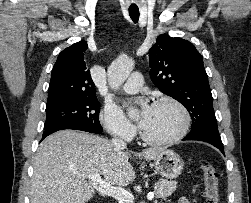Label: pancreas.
<instances>
[{
	"instance_id": "obj_1",
	"label": "pancreas",
	"mask_w": 251,
	"mask_h": 203,
	"mask_svg": "<svg viewBox=\"0 0 251 203\" xmlns=\"http://www.w3.org/2000/svg\"><path fill=\"white\" fill-rule=\"evenodd\" d=\"M155 194L157 198H165L170 196L177 188L176 181H168L161 179L156 184Z\"/></svg>"
}]
</instances>
